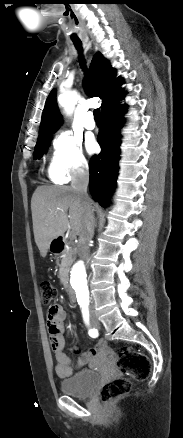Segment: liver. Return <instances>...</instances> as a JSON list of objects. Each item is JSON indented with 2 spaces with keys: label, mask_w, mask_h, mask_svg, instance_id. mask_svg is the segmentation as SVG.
<instances>
[{
  "label": "liver",
  "mask_w": 183,
  "mask_h": 438,
  "mask_svg": "<svg viewBox=\"0 0 183 438\" xmlns=\"http://www.w3.org/2000/svg\"><path fill=\"white\" fill-rule=\"evenodd\" d=\"M31 210L34 238L42 257L68 227L74 235L83 230L84 204L72 187L39 186L33 193Z\"/></svg>",
  "instance_id": "obj_1"
}]
</instances>
